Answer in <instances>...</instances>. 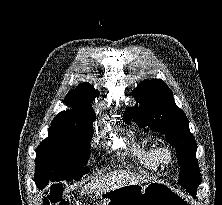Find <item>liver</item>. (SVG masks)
<instances>
[{
    "label": "liver",
    "mask_w": 222,
    "mask_h": 205,
    "mask_svg": "<svg viewBox=\"0 0 222 205\" xmlns=\"http://www.w3.org/2000/svg\"><path fill=\"white\" fill-rule=\"evenodd\" d=\"M145 181H147L146 178H143L131 172L123 170L114 171L108 173L103 177L92 180L88 184L84 185L81 190V194L91 193L99 196L104 192H108L123 187L125 185L141 184Z\"/></svg>",
    "instance_id": "1"
}]
</instances>
